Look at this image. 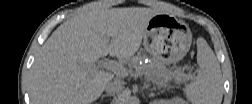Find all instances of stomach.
Instances as JSON below:
<instances>
[{
  "instance_id": "0dacf381",
  "label": "stomach",
  "mask_w": 252,
  "mask_h": 104,
  "mask_svg": "<svg viewBox=\"0 0 252 104\" xmlns=\"http://www.w3.org/2000/svg\"><path fill=\"white\" fill-rule=\"evenodd\" d=\"M191 43L189 27L166 13H158L149 20L143 37L145 51L162 64L183 59Z\"/></svg>"
}]
</instances>
